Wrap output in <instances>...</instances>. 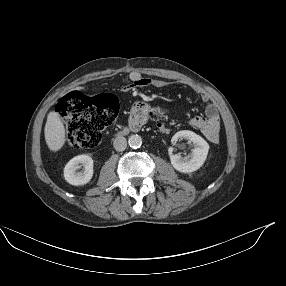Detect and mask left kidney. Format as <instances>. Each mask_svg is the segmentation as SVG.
I'll list each match as a JSON object with an SVG mask.
<instances>
[{"label":"left kidney","instance_id":"1","mask_svg":"<svg viewBox=\"0 0 286 286\" xmlns=\"http://www.w3.org/2000/svg\"><path fill=\"white\" fill-rule=\"evenodd\" d=\"M179 139H186L193 143L194 149L192 152L182 158L179 154H172L173 148L168 149L172 166L181 173H191L198 170L206 160L209 145L208 143L196 133L189 130H182L177 132L172 137V142L176 143Z\"/></svg>","mask_w":286,"mask_h":286}]
</instances>
